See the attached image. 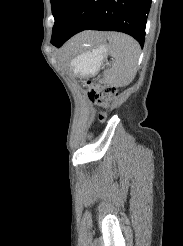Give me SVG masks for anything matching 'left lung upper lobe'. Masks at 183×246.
Listing matches in <instances>:
<instances>
[{"label":"left lung upper lobe","instance_id":"obj_1","mask_svg":"<svg viewBox=\"0 0 183 246\" xmlns=\"http://www.w3.org/2000/svg\"><path fill=\"white\" fill-rule=\"evenodd\" d=\"M77 0H51L52 14L55 23L52 29V38L59 32Z\"/></svg>","mask_w":183,"mask_h":246}]
</instances>
